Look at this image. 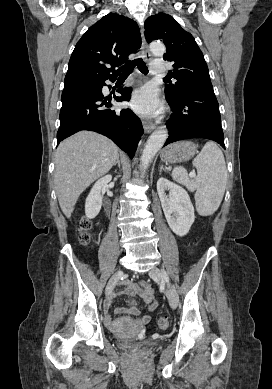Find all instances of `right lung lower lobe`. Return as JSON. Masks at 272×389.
Here are the masks:
<instances>
[{
	"instance_id": "obj_1",
	"label": "right lung lower lobe",
	"mask_w": 272,
	"mask_h": 389,
	"mask_svg": "<svg viewBox=\"0 0 272 389\" xmlns=\"http://www.w3.org/2000/svg\"><path fill=\"white\" fill-rule=\"evenodd\" d=\"M111 81L116 77L109 78ZM105 81L94 85L65 86L62 92L60 127L57 144L75 132L86 129L98 132L114 141L130 158L137 149L143 127L139 118L130 110L111 109V100L129 101L131 88H120L122 96H104Z\"/></svg>"
}]
</instances>
